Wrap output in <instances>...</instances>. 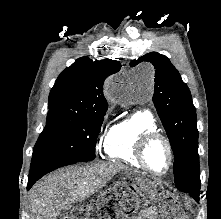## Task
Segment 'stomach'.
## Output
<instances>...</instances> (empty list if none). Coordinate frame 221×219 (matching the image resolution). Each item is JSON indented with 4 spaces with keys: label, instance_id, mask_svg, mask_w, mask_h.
Masks as SVG:
<instances>
[{
    "label": "stomach",
    "instance_id": "stomach-1",
    "mask_svg": "<svg viewBox=\"0 0 221 219\" xmlns=\"http://www.w3.org/2000/svg\"><path fill=\"white\" fill-rule=\"evenodd\" d=\"M141 183H151L154 188V190H148L146 199H171L170 190H164L159 182L154 181V178H141Z\"/></svg>",
    "mask_w": 221,
    "mask_h": 219
}]
</instances>
